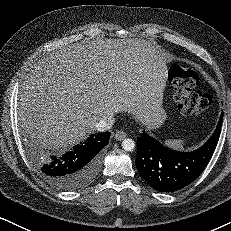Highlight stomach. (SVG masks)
Segmentation results:
<instances>
[{
    "instance_id": "stomach-1",
    "label": "stomach",
    "mask_w": 231,
    "mask_h": 231,
    "mask_svg": "<svg viewBox=\"0 0 231 231\" xmlns=\"http://www.w3.org/2000/svg\"><path fill=\"white\" fill-rule=\"evenodd\" d=\"M161 123L157 124L156 127H158Z\"/></svg>"
}]
</instances>
